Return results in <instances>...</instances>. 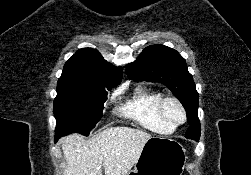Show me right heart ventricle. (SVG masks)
Returning <instances> with one entry per match:
<instances>
[{"label":"right heart ventricle","instance_id":"1","mask_svg":"<svg viewBox=\"0 0 251 175\" xmlns=\"http://www.w3.org/2000/svg\"><path fill=\"white\" fill-rule=\"evenodd\" d=\"M163 94L146 86H137L132 96L121 107L122 113L143 129L160 135H171L175 130L165 124L158 114V103Z\"/></svg>","mask_w":251,"mask_h":175}]
</instances>
